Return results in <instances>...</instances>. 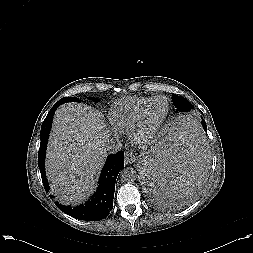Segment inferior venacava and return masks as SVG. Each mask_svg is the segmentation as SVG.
Instances as JSON below:
<instances>
[{"label": "inferior vena cava", "instance_id": "602c4592", "mask_svg": "<svg viewBox=\"0 0 253 253\" xmlns=\"http://www.w3.org/2000/svg\"><path fill=\"white\" fill-rule=\"evenodd\" d=\"M105 149L109 153H116L121 149V143L115 142L114 140H110L106 143Z\"/></svg>", "mask_w": 253, "mask_h": 253}]
</instances>
